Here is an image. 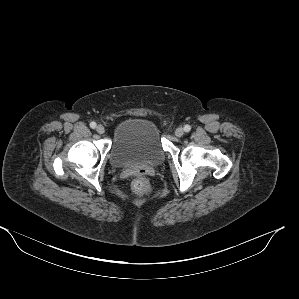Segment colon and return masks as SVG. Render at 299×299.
Segmentation results:
<instances>
[{
  "instance_id": "1",
  "label": "colon",
  "mask_w": 299,
  "mask_h": 299,
  "mask_svg": "<svg viewBox=\"0 0 299 299\" xmlns=\"http://www.w3.org/2000/svg\"><path fill=\"white\" fill-rule=\"evenodd\" d=\"M132 189L139 195H147L151 192L149 181L145 177H137L132 182Z\"/></svg>"
}]
</instances>
